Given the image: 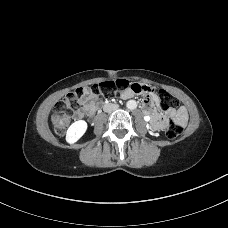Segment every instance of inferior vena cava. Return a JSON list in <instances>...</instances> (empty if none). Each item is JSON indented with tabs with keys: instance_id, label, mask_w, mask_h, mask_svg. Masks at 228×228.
Segmentation results:
<instances>
[{
	"instance_id": "1",
	"label": "inferior vena cava",
	"mask_w": 228,
	"mask_h": 228,
	"mask_svg": "<svg viewBox=\"0 0 228 228\" xmlns=\"http://www.w3.org/2000/svg\"><path fill=\"white\" fill-rule=\"evenodd\" d=\"M118 107H119L118 104H112V103H110V104L104 105L103 110H104V112L110 113V112L118 109Z\"/></svg>"
}]
</instances>
